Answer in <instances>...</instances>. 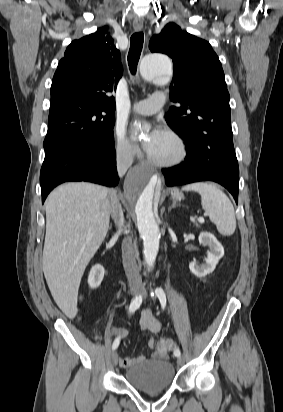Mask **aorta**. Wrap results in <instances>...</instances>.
I'll list each match as a JSON object with an SVG mask.
<instances>
[{"label": "aorta", "instance_id": "obj_1", "mask_svg": "<svg viewBox=\"0 0 283 412\" xmlns=\"http://www.w3.org/2000/svg\"><path fill=\"white\" fill-rule=\"evenodd\" d=\"M172 73V63L164 55H151L140 66L141 77L155 84L167 82ZM157 183V175L144 169L133 172L125 182V193L135 202L137 227L143 239L144 260L148 267L154 265L159 250L160 231L153 213Z\"/></svg>", "mask_w": 283, "mask_h": 412}]
</instances>
